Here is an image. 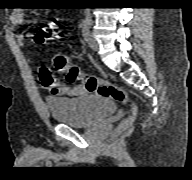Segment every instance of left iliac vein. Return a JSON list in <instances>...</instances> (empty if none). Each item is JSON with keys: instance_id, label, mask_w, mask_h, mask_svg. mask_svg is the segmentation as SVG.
<instances>
[{"instance_id": "obj_1", "label": "left iliac vein", "mask_w": 192, "mask_h": 180, "mask_svg": "<svg viewBox=\"0 0 192 180\" xmlns=\"http://www.w3.org/2000/svg\"><path fill=\"white\" fill-rule=\"evenodd\" d=\"M87 43L89 45V47L94 50L97 51L99 48L98 42L94 37L93 33H89L88 37H87Z\"/></svg>"}]
</instances>
